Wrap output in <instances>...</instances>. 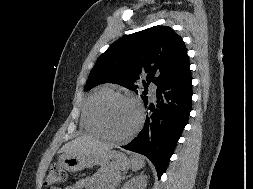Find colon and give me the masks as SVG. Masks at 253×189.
Wrapping results in <instances>:
<instances>
[{"mask_svg":"<svg viewBox=\"0 0 253 189\" xmlns=\"http://www.w3.org/2000/svg\"><path fill=\"white\" fill-rule=\"evenodd\" d=\"M66 180L65 171L58 165H53L46 179L47 189H57Z\"/></svg>","mask_w":253,"mask_h":189,"instance_id":"colon-1","label":"colon"}]
</instances>
